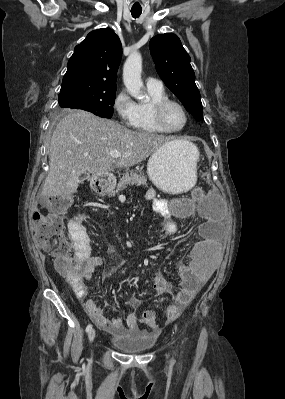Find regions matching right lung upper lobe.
I'll list each match as a JSON object with an SVG mask.
<instances>
[{
  "mask_svg": "<svg viewBox=\"0 0 285 399\" xmlns=\"http://www.w3.org/2000/svg\"><path fill=\"white\" fill-rule=\"evenodd\" d=\"M122 57L119 37L109 28L90 32L68 61L60 94L74 91L116 90Z\"/></svg>",
  "mask_w": 285,
  "mask_h": 399,
  "instance_id": "obj_1",
  "label": "right lung upper lobe"
}]
</instances>
